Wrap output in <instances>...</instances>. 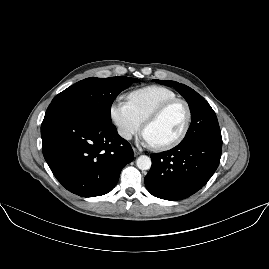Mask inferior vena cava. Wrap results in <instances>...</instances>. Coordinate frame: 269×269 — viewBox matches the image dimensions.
I'll list each match as a JSON object with an SVG mask.
<instances>
[{
    "mask_svg": "<svg viewBox=\"0 0 269 269\" xmlns=\"http://www.w3.org/2000/svg\"><path fill=\"white\" fill-rule=\"evenodd\" d=\"M118 132H119L120 136L126 140H131L133 137V134L130 131H128V132L118 131Z\"/></svg>",
    "mask_w": 269,
    "mask_h": 269,
    "instance_id": "obj_1",
    "label": "inferior vena cava"
}]
</instances>
